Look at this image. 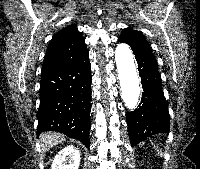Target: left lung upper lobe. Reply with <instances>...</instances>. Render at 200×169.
Returning a JSON list of instances; mask_svg holds the SVG:
<instances>
[{
    "mask_svg": "<svg viewBox=\"0 0 200 169\" xmlns=\"http://www.w3.org/2000/svg\"><path fill=\"white\" fill-rule=\"evenodd\" d=\"M119 39L129 44L135 55H146L156 61L148 41L141 32L127 28L121 32Z\"/></svg>",
    "mask_w": 200,
    "mask_h": 169,
    "instance_id": "5c2ea615",
    "label": "left lung upper lobe"
}]
</instances>
